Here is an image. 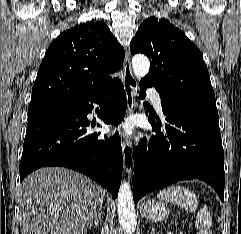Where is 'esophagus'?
Masks as SVG:
<instances>
[{
	"label": "esophagus",
	"instance_id": "34e87169",
	"mask_svg": "<svg viewBox=\"0 0 241 234\" xmlns=\"http://www.w3.org/2000/svg\"><path fill=\"white\" fill-rule=\"evenodd\" d=\"M123 85L127 100V114H131L136 106V96L138 91V83L132 72L129 52L126 51L123 63ZM123 165L128 175H131L133 170V147L128 138L122 140Z\"/></svg>",
	"mask_w": 241,
	"mask_h": 234
}]
</instances>
